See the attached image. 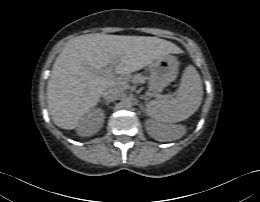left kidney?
<instances>
[{
    "label": "left kidney",
    "instance_id": "1",
    "mask_svg": "<svg viewBox=\"0 0 260 202\" xmlns=\"http://www.w3.org/2000/svg\"><path fill=\"white\" fill-rule=\"evenodd\" d=\"M178 128L176 126H168L156 122H150L148 126L149 134L156 140L160 139H172L174 132Z\"/></svg>",
    "mask_w": 260,
    "mask_h": 202
}]
</instances>
